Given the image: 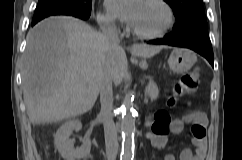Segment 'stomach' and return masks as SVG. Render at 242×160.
<instances>
[{
  "instance_id": "0dacf381",
  "label": "stomach",
  "mask_w": 242,
  "mask_h": 160,
  "mask_svg": "<svg viewBox=\"0 0 242 160\" xmlns=\"http://www.w3.org/2000/svg\"><path fill=\"white\" fill-rule=\"evenodd\" d=\"M195 62V54L191 50L185 48H175L168 59L170 69L178 74L188 72Z\"/></svg>"
}]
</instances>
